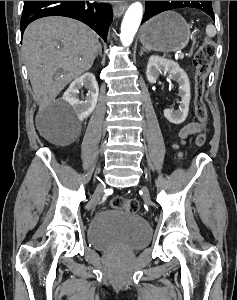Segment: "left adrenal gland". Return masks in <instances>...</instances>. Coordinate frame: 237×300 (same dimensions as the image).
Listing matches in <instances>:
<instances>
[{
    "mask_svg": "<svg viewBox=\"0 0 237 300\" xmlns=\"http://www.w3.org/2000/svg\"><path fill=\"white\" fill-rule=\"evenodd\" d=\"M144 51H146V49H144V47H141V53H140V57H142Z\"/></svg>",
    "mask_w": 237,
    "mask_h": 300,
    "instance_id": "a2214340",
    "label": "left adrenal gland"
}]
</instances>
